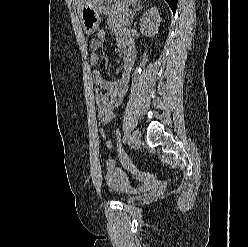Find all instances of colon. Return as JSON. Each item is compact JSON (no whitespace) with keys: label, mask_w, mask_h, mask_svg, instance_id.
I'll return each instance as SVG.
<instances>
[{"label":"colon","mask_w":248,"mask_h":247,"mask_svg":"<svg viewBox=\"0 0 248 247\" xmlns=\"http://www.w3.org/2000/svg\"><path fill=\"white\" fill-rule=\"evenodd\" d=\"M103 33L100 31L98 33V36L102 35ZM115 147H116V151L119 157V160L121 162V164L123 165V167L129 171L130 173H132L134 176H136L139 180L142 181H149L152 180L154 178V175L151 173H140L136 170V168L133 166V164L130 161V158L124 148V143L122 140V134L121 131L119 129L116 130L115 132Z\"/></svg>","instance_id":"5ec220e1"}]
</instances>
